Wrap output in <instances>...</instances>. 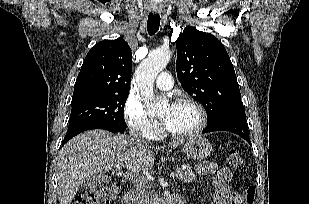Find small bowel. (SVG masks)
Wrapping results in <instances>:
<instances>
[{"label":"small bowel","instance_id":"c3829d8e","mask_svg":"<svg viewBox=\"0 0 309 204\" xmlns=\"http://www.w3.org/2000/svg\"><path fill=\"white\" fill-rule=\"evenodd\" d=\"M203 174L211 176L212 185L215 193L212 204H242L243 195L235 191L230 182L233 179V173L226 167H217L213 162H205L199 166Z\"/></svg>","mask_w":309,"mask_h":204}]
</instances>
